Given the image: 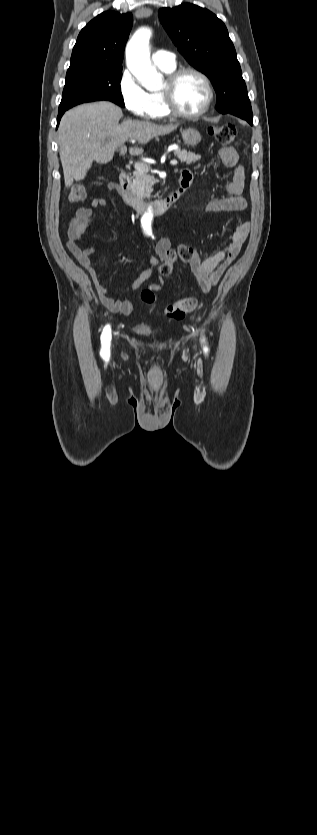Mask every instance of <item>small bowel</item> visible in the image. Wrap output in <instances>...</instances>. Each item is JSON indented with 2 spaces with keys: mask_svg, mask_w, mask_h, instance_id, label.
<instances>
[{
  "mask_svg": "<svg viewBox=\"0 0 317 835\" xmlns=\"http://www.w3.org/2000/svg\"><path fill=\"white\" fill-rule=\"evenodd\" d=\"M219 155L222 163L229 168H234L233 176L230 180L225 182L226 197L211 200L207 203L206 212L216 213L224 211H244L247 208V201L242 195L245 187V169L238 164L239 155L233 147H223L219 150ZM193 173L190 169H185L182 172L181 180L188 183V186L193 181ZM110 190H117L115 183L109 184ZM107 201L101 196H92L89 199V207H80L77 209L74 217L71 219L68 229V246L73 254L76 256L80 264L87 270L93 282L95 290L98 294L101 304L110 312L128 315L133 311L134 304L129 299H115L111 297L108 291L103 287L91 261V256L96 252V247L92 245L80 248L78 244L83 241V235L90 227L94 225L93 210L99 207H105ZM249 231L247 222H243L236 227L226 247L216 254L202 259L198 252L188 259L184 260L195 276L201 290L209 292L219 281L225 270L233 262L244 244ZM184 245L173 246L168 238H162L156 246L157 257L154 258L149 265L128 284L131 290L138 289L152 274L154 270L158 272V282L153 283L151 288L158 290L162 284L161 265L166 262L172 263L177 258L178 250Z\"/></svg>",
  "mask_w": 317,
  "mask_h": 835,
  "instance_id": "1",
  "label": "small bowel"
}]
</instances>
